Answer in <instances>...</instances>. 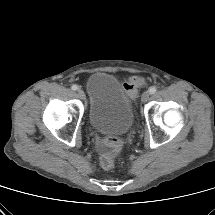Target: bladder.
<instances>
[{
    "label": "bladder",
    "mask_w": 215,
    "mask_h": 215,
    "mask_svg": "<svg viewBox=\"0 0 215 215\" xmlns=\"http://www.w3.org/2000/svg\"><path fill=\"white\" fill-rule=\"evenodd\" d=\"M88 118L103 134L122 135L134 122L132 101L117 78L105 72L92 74L87 81Z\"/></svg>",
    "instance_id": "obj_1"
}]
</instances>
